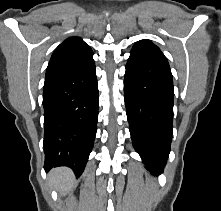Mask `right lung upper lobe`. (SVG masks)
Listing matches in <instances>:
<instances>
[{
  "label": "right lung upper lobe",
  "mask_w": 221,
  "mask_h": 211,
  "mask_svg": "<svg viewBox=\"0 0 221 211\" xmlns=\"http://www.w3.org/2000/svg\"><path fill=\"white\" fill-rule=\"evenodd\" d=\"M94 64L93 52L79 37H70L53 52L46 70L45 81L85 69Z\"/></svg>",
  "instance_id": "obj_1"
}]
</instances>
